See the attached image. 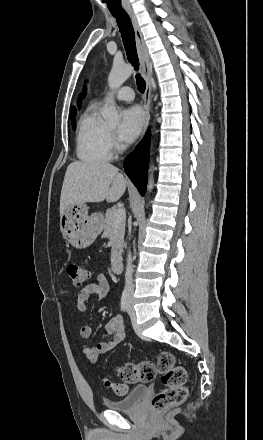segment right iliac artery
Returning a JSON list of instances; mask_svg holds the SVG:
<instances>
[{"label": "right iliac artery", "instance_id": "obj_1", "mask_svg": "<svg viewBox=\"0 0 263 440\" xmlns=\"http://www.w3.org/2000/svg\"><path fill=\"white\" fill-rule=\"evenodd\" d=\"M128 309V294L127 291L124 290L121 297V310L126 312Z\"/></svg>", "mask_w": 263, "mask_h": 440}]
</instances>
